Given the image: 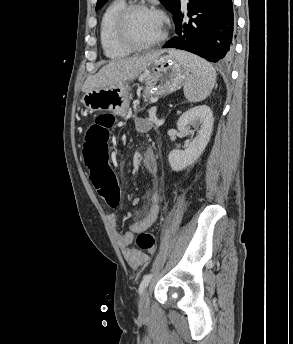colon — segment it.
Listing matches in <instances>:
<instances>
[{
    "label": "colon",
    "instance_id": "5ec220e1",
    "mask_svg": "<svg viewBox=\"0 0 293 344\" xmlns=\"http://www.w3.org/2000/svg\"><path fill=\"white\" fill-rule=\"evenodd\" d=\"M114 124L115 117L112 114L98 115L88 124L83 143V156L90 170V178L98 194L111 208L117 207L120 201V188L109 164L110 137ZM136 246L139 252L152 254L156 248V238L150 232H140Z\"/></svg>",
    "mask_w": 293,
    "mask_h": 344
}]
</instances>
